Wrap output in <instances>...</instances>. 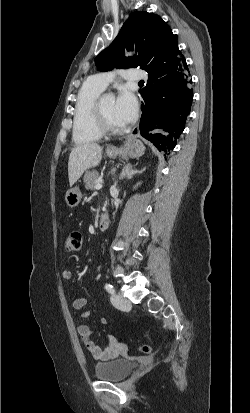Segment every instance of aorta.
Returning a JSON list of instances; mask_svg holds the SVG:
<instances>
[{
    "label": "aorta",
    "mask_w": 250,
    "mask_h": 413,
    "mask_svg": "<svg viewBox=\"0 0 250 413\" xmlns=\"http://www.w3.org/2000/svg\"><path fill=\"white\" fill-rule=\"evenodd\" d=\"M110 98H114L112 95H110Z\"/></svg>",
    "instance_id": "obj_1"
}]
</instances>
